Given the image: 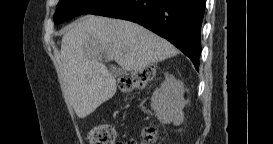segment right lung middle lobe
<instances>
[{
    "label": "right lung middle lobe",
    "mask_w": 273,
    "mask_h": 144,
    "mask_svg": "<svg viewBox=\"0 0 273 144\" xmlns=\"http://www.w3.org/2000/svg\"><path fill=\"white\" fill-rule=\"evenodd\" d=\"M108 1L109 0H60L54 14V21L56 24H60L75 16L89 14Z\"/></svg>",
    "instance_id": "1"
}]
</instances>
